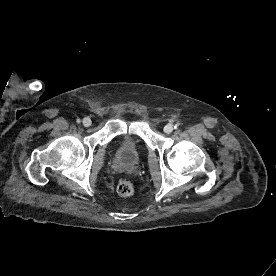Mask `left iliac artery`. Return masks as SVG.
Here are the masks:
<instances>
[{
	"instance_id": "1",
	"label": "left iliac artery",
	"mask_w": 276,
	"mask_h": 276,
	"mask_svg": "<svg viewBox=\"0 0 276 276\" xmlns=\"http://www.w3.org/2000/svg\"><path fill=\"white\" fill-rule=\"evenodd\" d=\"M174 128L177 129V128H178V125L176 124V125L174 126Z\"/></svg>"
}]
</instances>
